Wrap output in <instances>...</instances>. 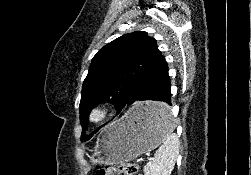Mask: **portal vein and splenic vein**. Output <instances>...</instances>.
<instances>
[{"instance_id":"18ae733b","label":"portal vein and splenic vein","mask_w":251,"mask_h":175,"mask_svg":"<svg viewBox=\"0 0 251 175\" xmlns=\"http://www.w3.org/2000/svg\"><path fill=\"white\" fill-rule=\"evenodd\" d=\"M145 161H146V162H151V161H152V158H151V157H146V158H145Z\"/></svg>"}]
</instances>
